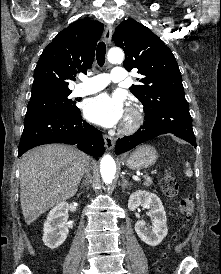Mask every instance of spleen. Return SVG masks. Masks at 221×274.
<instances>
[{
  "instance_id": "3e777b00",
  "label": "spleen",
  "mask_w": 221,
  "mask_h": 274,
  "mask_svg": "<svg viewBox=\"0 0 221 274\" xmlns=\"http://www.w3.org/2000/svg\"><path fill=\"white\" fill-rule=\"evenodd\" d=\"M185 165H186V168H187V170H186V175H187L188 177H191L192 174H193V172H192V170L190 169L189 162H186Z\"/></svg>"
}]
</instances>
